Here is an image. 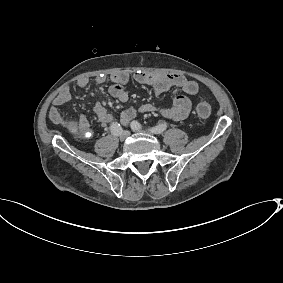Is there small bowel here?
Masks as SVG:
<instances>
[{
  "label": "small bowel",
  "mask_w": 283,
  "mask_h": 283,
  "mask_svg": "<svg viewBox=\"0 0 283 283\" xmlns=\"http://www.w3.org/2000/svg\"><path fill=\"white\" fill-rule=\"evenodd\" d=\"M130 79L140 84L151 86L156 96L173 90V102L167 108H160L154 103H145L137 108H127L120 115V120L124 125H128L139 113L153 112H159L163 117L173 121H181L188 116L191 110L189 96L196 95L199 90L198 84L195 81L188 79L182 74L150 73L145 71H135L130 74L127 71H120L110 76V95L121 102H126L128 100V93L124 86ZM106 80V76L100 75L95 78V83L102 85ZM88 84L89 79L87 77H82L77 81L79 88H85ZM70 99L71 91L69 87H62L59 94L53 100V106L49 111V118L52 122L62 127L67 129L78 128L81 133L87 134L89 132V124L86 116L80 115L76 121H71L65 119L60 113L59 108L66 105ZM93 110L101 126L106 127L112 123L113 116L102 103H96Z\"/></svg>",
  "instance_id": "1"
}]
</instances>
